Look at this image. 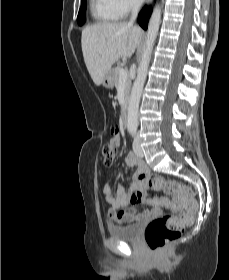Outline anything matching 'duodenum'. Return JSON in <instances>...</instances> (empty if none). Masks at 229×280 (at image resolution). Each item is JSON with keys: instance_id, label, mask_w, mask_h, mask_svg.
I'll return each instance as SVG.
<instances>
[{"instance_id": "duodenum-1", "label": "duodenum", "mask_w": 229, "mask_h": 280, "mask_svg": "<svg viewBox=\"0 0 229 280\" xmlns=\"http://www.w3.org/2000/svg\"><path fill=\"white\" fill-rule=\"evenodd\" d=\"M128 104V100L125 99L121 114V123L123 126H127L128 123Z\"/></svg>"}]
</instances>
